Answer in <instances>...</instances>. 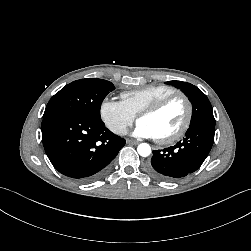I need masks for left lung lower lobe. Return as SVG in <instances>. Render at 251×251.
<instances>
[{
    "label": "left lung lower lobe",
    "mask_w": 251,
    "mask_h": 251,
    "mask_svg": "<svg viewBox=\"0 0 251 251\" xmlns=\"http://www.w3.org/2000/svg\"><path fill=\"white\" fill-rule=\"evenodd\" d=\"M214 127L215 123L207 121L190 125L182 141L153 151L150 172L162 180L173 181L196 171L212 148Z\"/></svg>",
    "instance_id": "left-lung-lower-lobe-1"
}]
</instances>
